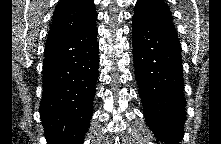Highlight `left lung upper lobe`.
Listing matches in <instances>:
<instances>
[{
  "label": "left lung upper lobe",
  "instance_id": "left-lung-upper-lobe-1",
  "mask_svg": "<svg viewBox=\"0 0 221 144\" xmlns=\"http://www.w3.org/2000/svg\"><path fill=\"white\" fill-rule=\"evenodd\" d=\"M133 18L175 29L171 11L163 0H137Z\"/></svg>",
  "mask_w": 221,
  "mask_h": 144
}]
</instances>
